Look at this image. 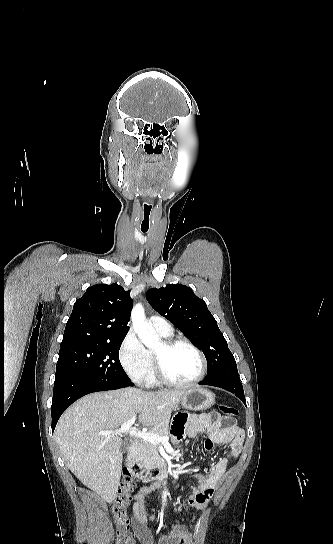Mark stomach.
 I'll return each mask as SVG.
<instances>
[{
	"instance_id": "stomach-1",
	"label": "stomach",
	"mask_w": 333,
	"mask_h": 544,
	"mask_svg": "<svg viewBox=\"0 0 333 544\" xmlns=\"http://www.w3.org/2000/svg\"><path fill=\"white\" fill-rule=\"evenodd\" d=\"M214 402V394L211 391L202 388H192L186 391L180 399L182 407L190 411L207 410Z\"/></svg>"
}]
</instances>
